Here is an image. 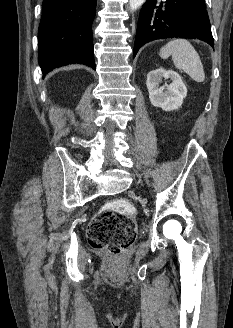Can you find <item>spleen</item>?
Wrapping results in <instances>:
<instances>
[{
    "instance_id": "spleen-1",
    "label": "spleen",
    "mask_w": 233,
    "mask_h": 328,
    "mask_svg": "<svg viewBox=\"0 0 233 328\" xmlns=\"http://www.w3.org/2000/svg\"><path fill=\"white\" fill-rule=\"evenodd\" d=\"M160 57L172 56L175 67L187 73L194 81L203 82L205 73L200 57L187 39H174L160 49Z\"/></svg>"
}]
</instances>
